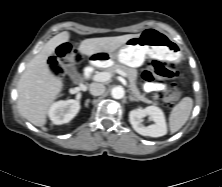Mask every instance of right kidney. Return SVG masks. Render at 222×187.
<instances>
[{"label": "right kidney", "instance_id": "obj_1", "mask_svg": "<svg viewBox=\"0 0 222 187\" xmlns=\"http://www.w3.org/2000/svg\"><path fill=\"white\" fill-rule=\"evenodd\" d=\"M80 110L78 101L70 99L65 101H58L51 105L48 114L50 120L56 124L61 125L71 121Z\"/></svg>", "mask_w": 222, "mask_h": 187}]
</instances>
